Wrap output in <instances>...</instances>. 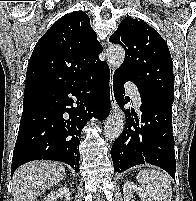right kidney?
<instances>
[{"label": "right kidney", "instance_id": "obj_1", "mask_svg": "<svg viewBox=\"0 0 196 201\" xmlns=\"http://www.w3.org/2000/svg\"><path fill=\"white\" fill-rule=\"evenodd\" d=\"M58 199L70 201V191L67 187H60L55 191H51L43 201H57Z\"/></svg>", "mask_w": 196, "mask_h": 201}]
</instances>
